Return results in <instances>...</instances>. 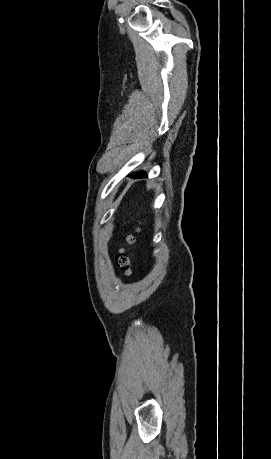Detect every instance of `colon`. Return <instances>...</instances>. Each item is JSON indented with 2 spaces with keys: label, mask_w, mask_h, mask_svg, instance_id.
Segmentation results:
<instances>
[{
  "label": "colon",
  "mask_w": 271,
  "mask_h": 459,
  "mask_svg": "<svg viewBox=\"0 0 271 459\" xmlns=\"http://www.w3.org/2000/svg\"><path fill=\"white\" fill-rule=\"evenodd\" d=\"M132 236L127 238V242H132ZM116 264L119 268L124 270L126 273L130 272V259L129 256L121 249L116 256Z\"/></svg>",
  "instance_id": "1"
}]
</instances>
